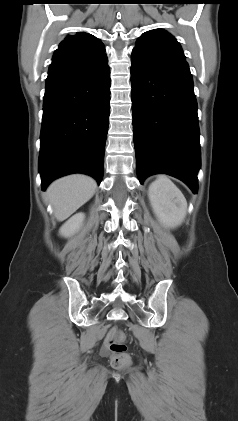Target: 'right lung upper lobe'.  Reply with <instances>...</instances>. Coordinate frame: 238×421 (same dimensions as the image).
<instances>
[{
  "instance_id": "1",
  "label": "right lung upper lobe",
  "mask_w": 238,
  "mask_h": 421,
  "mask_svg": "<svg viewBox=\"0 0 238 421\" xmlns=\"http://www.w3.org/2000/svg\"><path fill=\"white\" fill-rule=\"evenodd\" d=\"M103 43L95 36L78 32L67 36L55 51L52 61H68L106 56Z\"/></svg>"
}]
</instances>
